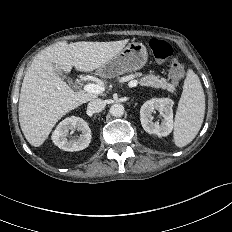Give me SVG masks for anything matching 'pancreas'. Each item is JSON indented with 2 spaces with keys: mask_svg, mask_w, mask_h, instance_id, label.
I'll return each instance as SVG.
<instances>
[{
  "mask_svg": "<svg viewBox=\"0 0 232 232\" xmlns=\"http://www.w3.org/2000/svg\"><path fill=\"white\" fill-rule=\"evenodd\" d=\"M132 79L135 77L141 76V73H135L131 75ZM139 84L142 86H148L153 88H161L166 89L167 91L173 93L175 91V86L168 82L165 78H160V76H155L153 74L146 75L144 77H141L139 80Z\"/></svg>",
  "mask_w": 232,
  "mask_h": 232,
  "instance_id": "1",
  "label": "pancreas"
}]
</instances>
